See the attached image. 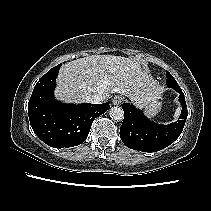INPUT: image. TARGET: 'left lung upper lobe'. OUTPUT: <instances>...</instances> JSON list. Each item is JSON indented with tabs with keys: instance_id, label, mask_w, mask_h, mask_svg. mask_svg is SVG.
I'll list each match as a JSON object with an SVG mask.
<instances>
[{
	"instance_id": "1",
	"label": "left lung upper lobe",
	"mask_w": 211,
	"mask_h": 211,
	"mask_svg": "<svg viewBox=\"0 0 211 211\" xmlns=\"http://www.w3.org/2000/svg\"><path fill=\"white\" fill-rule=\"evenodd\" d=\"M166 77V83L168 87L175 88L176 86H178V83L169 72L166 73Z\"/></svg>"
}]
</instances>
